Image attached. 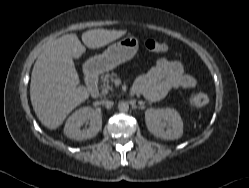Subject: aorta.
Returning <instances> with one entry per match:
<instances>
[{"instance_id":"1","label":"aorta","mask_w":249,"mask_h":188,"mask_svg":"<svg viewBox=\"0 0 249 188\" xmlns=\"http://www.w3.org/2000/svg\"><path fill=\"white\" fill-rule=\"evenodd\" d=\"M118 109L120 112H127L129 110V105L127 102H120L118 104Z\"/></svg>"}]
</instances>
